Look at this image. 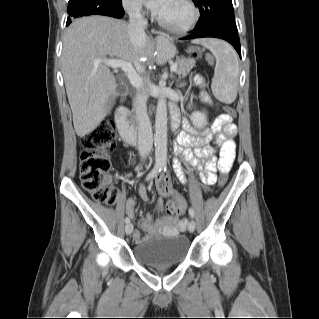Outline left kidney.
Listing matches in <instances>:
<instances>
[{
  "label": "left kidney",
  "instance_id": "left-kidney-1",
  "mask_svg": "<svg viewBox=\"0 0 319 319\" xmlns=\"http://www.w3.org/2000/svg\"><path fill=\"white\" fill-rule=\"evenodd\" d=\"M190 119L192 123L199 128L207 124L206 115L201 112H193Z\"/></svg>",
  "mask_w": 319,
  "mask_h": 319
}]
</instances>
